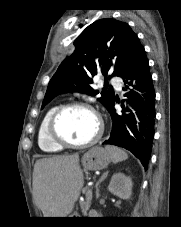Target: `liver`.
<instances>
[{
    "label": "liver",
    "mask_w": 181,
    "mask_h": 227,
    "mask_svg": "<svg viewBox=\"0 0 181 227\" xmlns=\"http://www.w3.org/2000/svg\"><path fill=\"white\" fill-rule=\"evenodd\" d=\"M84 184L79 155L54 156L36 161L33 194L44 217H66Z\"/></svg>",
    "instance_id": "1"
}]
</instances>
